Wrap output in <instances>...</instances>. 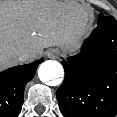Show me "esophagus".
Instances as JSON below:
<instances>
[{"mask_svg": "<svg viewBox=\"0 0 117 117\" xmlns=\"http://www.w3.org/2000/svg\"><path fill=\"white\" fill-rule=\"evenodd\" d=\"M48 57H50V58H54V57H55V54L52 53V52H50V53H48Z\"/></svg>", "mask_w": 117, "mask_h": 117, "instance_id": "34e87169", "label": "esophagus"}]
</instances>
